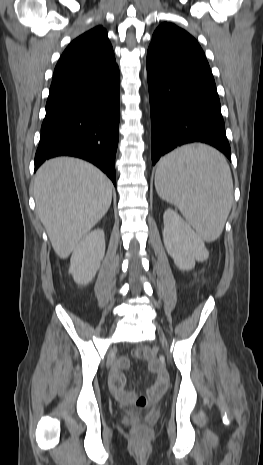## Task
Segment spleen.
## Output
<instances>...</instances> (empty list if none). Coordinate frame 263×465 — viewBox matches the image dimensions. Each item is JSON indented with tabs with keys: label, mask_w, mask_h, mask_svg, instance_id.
<instances>
[{
	"label": "spleen",
	"mask_w": 263,
	"mask_h": 465,
	"mask_svg": "<svg viewBox=\"0 0 263 465\" xmlns=\"http://www.w3.org/2000/svg\"><path fill=\"white\" fill-rule=\"evenodd\" d=\"M155 187L201 239L212 242L221 235L233 200L231 171L221 153L205 145L176 149L158 162Z\"/></svg>",
	"instance_id": "3e777b00"
}]
</instances>
